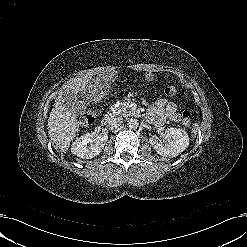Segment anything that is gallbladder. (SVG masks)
<instances>
[{
    "instance_id": "gallbladder-1",
    "label": "gallbladder",
    "mask_w": 247,
    "mask_h": 247,
    "mask_svg": "<svg viewBox=\"0 0 247 247\" xmlns=\"http://www.w3.org/2000/svg\"><path fill=\"white\" fill-rule=\"evenodd\" d=\"M64 106L69 109L72 113H78L81 110V103H77L75 106L76 98L72 90H65L62 94Z\"/></svg>"
}]
</instances>
